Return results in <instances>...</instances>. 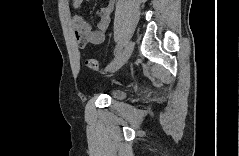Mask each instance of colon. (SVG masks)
Masks as SVG:
<instances>
[{
    "label": "colon",
    "instance_id": "colon-1",
    "mask_svg": "<svg viewBox=\"0 0 239 156\" xmlns=\"http://www.w3.org/2000/svg\"><path fill=\"white\" fill-rule=\"evenodd\" d=\"M85 65L91 70H94L97 72L101 71L99 63L95 59H87L85 61Z\"/></svg>",
    "mask_w": 239,
    "mask_h": 156
}]
</instances>
